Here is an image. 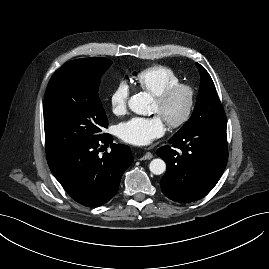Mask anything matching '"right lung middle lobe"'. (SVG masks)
I'll list each match as a JSON object with an SVG mask.
<instances>
[{
    "instance_id": "right-lung-middle-lobe-1",
    "label": "right lung middle lobe",
    "mask_w": 269,
    "mask_h": 269,
    "mask_svg": "<svg viewBox=\"0 0 269 269\" xmlns=\"http://www.w3.org/2000/svg\"><path fill=\"white\" fill-rule=\"evenodd\" d=\"M111 64L106 58H83L65 63L54 73L44 100L47 155L103 138L108 120L98 88Z\"/></svg>"
}]
</instances>
